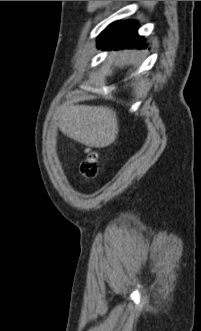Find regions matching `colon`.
I'll list each match as a JSON object with an SVG mask.
<instances>
[{"label": "colon", "mask_w": 201, "mask_h": 331, "mask_svg": "<svg viewBox=\"0 0 201 331\" xmlns=\"http://www.w3.org/2000/svg\"><path fill=\"white\" fill-rule=\"evenodd\" d=\"M81 175L85 179L95 177L98 172V157L95 153H89L80 167Z\"/></svg>", "instance_id": "colon-1"}]
</instances>
